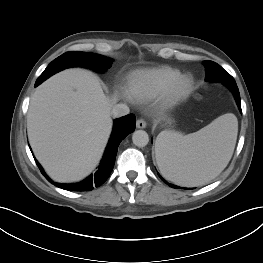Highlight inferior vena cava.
Listing matches in <instances>:
<instances>
[{"instance_id":"602c4592","label":"inferior vena cava","mask_w":263,"mask_h":263,"mask_svg":"<svg viewBox=\"0 0 263 263\" xmlns=\"http://www.w3.org/2000/svg\"><path fill=\"white\" fill-rule=\"evenodd\" d=\"M130 110L126 104H116L113 106L111 114L114 117H122L129 114Z\"/></svg>"}]
</instances>
